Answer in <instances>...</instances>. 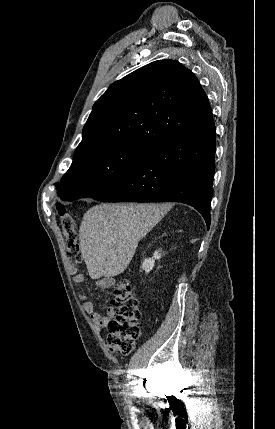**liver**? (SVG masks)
Segmentation results:
<instances>
[{
    "label": "liver",
    "mask_w": 275,
    "mask_h": 429,
    "mask_svg": "<svg viewBox=\"0 0 275 429\" xmlns=\"http://www.w3.org/2000/svg\"><path fill=\"white\" fill-rule=\"evenodd\" d=\"M165 204H100L83 216L82 256L92 279L113 278L130 264L138 242L167 212Z\"/></svg>",
    "instance_id": "6515ba94"
}]
</instances>
